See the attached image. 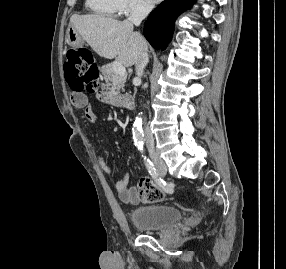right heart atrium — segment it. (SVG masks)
<instances>
[{
  "instance_id": "obj_1",
  "label": "right heart atrium",
  "mask_w": 286,
  "mask_h": 269,
  "mask_svg": "<svg viewBox=\"0 0 286 269\" xmlns=\"http://www.w3.org/2000/svg\"><path fill=\"white\" fill-rule=\"evenodd\" d=\"M118 3L119 13L125 16L147 14L152 9L148 0H118Z\"/></svg>"
}]
</instances>
